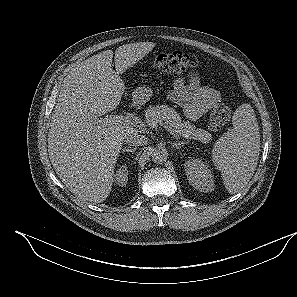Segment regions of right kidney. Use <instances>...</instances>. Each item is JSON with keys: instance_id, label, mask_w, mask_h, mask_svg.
<instances>
[{"instance_id": "obj_1", "label": "right kidney", "mask_w": 297, "mask_h": 297, "mask_svg": "<svg viewBox=\"0 0 297 297\" xmlns=\"http://www.w3.org/2000/svg\"><path fill=\"white\" fill-rule=\"evenodd\" d=\"M128 181V170L126 165H120L115 174V182L119 186H125Z\"/></svg>"}]
</instances>
